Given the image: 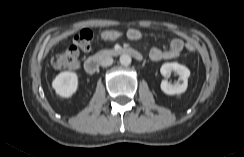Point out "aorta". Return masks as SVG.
Wrapping results in <instances>:
<instances>
[{"label": "aorta", "instance_id": "762f6f07", "mask_svg": "<svg viewBox=\"0 0 244 157\" xmlns=\"http://www.w3.org/2000/svg\"><path fill=\"white\" fill-rule=\"evenodd\" d=\"M120 63L123 66H128L131 64V57L128 54H122L120 56Z\"/></svg>", "mask_w": 244, "mask_h": 157}]
</instances>
